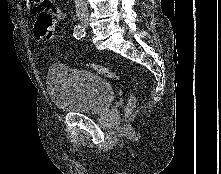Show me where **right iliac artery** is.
<instances>
[{"label":"right iliac artery","mask_w":221,"mask_h":174,"mask_svg":"<svg viewBox=\"0 0 221 174\" xmlns=\"http://www.w3.org/2000/svg\"><path fill=\"white\" fill-rule=\"evenodd\" d=\"M73 35L76 39H81L85 36V31L80 25H75Z\"/></svg>","instance_id":"1"}]
</instances>
